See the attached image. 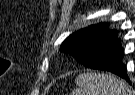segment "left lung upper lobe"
I'll list each match as a JSON object with an SVG mask.
<instances>
[{"mask_svg":"<svg viewBox=\"0 0 135 95\" xmlns=\"http://www.w3.org/2000/svg\"><path fill=\"white\" fill-rule=\"evenodd\" d=\"M107 27V23H100L76 31L65 39L60 50L70 53L80 64H84L103 39L117 33L116 30H108Z\"/></svg>","mask_w":135,"mask_h":95,"instance_id":"5c2ea615","label":"left lung upper lobe"}]
</instances>
